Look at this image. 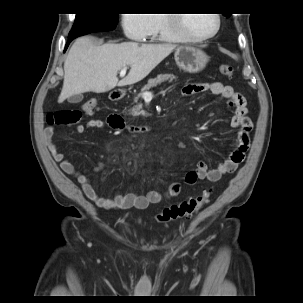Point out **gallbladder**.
Instances as JSON below:
<instances>
[{
	"label": "gallbladder",
	"mask_w": 303,
	"mask_h": 303,
	"mask_svg": "<svg viewBox=\"0 0 303 303\" xmlns=\"http://www.w3.org/2000/svg\"><path fill=\"white\" fill-rule=\"evenodd\" d=\"M82 99H83V95L77 94V95H73V96L69 97L68 102L69 103H79L82 101Z\"/></svg>",
	"instance_id": "1"
}]
</instances>
